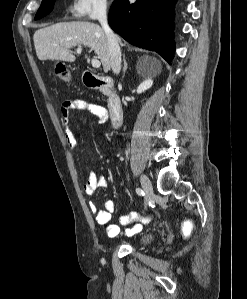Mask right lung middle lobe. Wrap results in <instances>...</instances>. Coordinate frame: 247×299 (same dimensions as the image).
<instances>
[{
    "label": "right lung middle lobe",
    "mask_w": 247,
    "mask_h": 299,
    "mask_svg": "<svg viewBox=\"0 0 247 299\" xmlns=\"http://www.w3.org/2000/svg\"><path fill=\"white\" fill-rule=\"evenodd\" d=\"M55 0H42L41 6L35 16L36 19H40L51 12L53 9Z\"/></svg>",
    "instance_id": "obj_1"
}]
</instances>
